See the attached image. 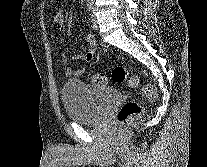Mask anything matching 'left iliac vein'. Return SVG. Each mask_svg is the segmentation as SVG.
Instances as JSON below:
<instances>
[{
    "instance_id": "1",
    "label": "left iliac vein",
    "mask_w": 207,
    "mask_h": 167,
    "mask_svg": "<svg viewBox=\"0 0 207 167\" xmlns=\"http://www.w3.org/2000/svg\"><path fill=\"white\" fill-rule=\"evenodd\" d=\"M91 18H92L93 27L95 29H97L98 28V22H97V19H96L95 15H94V10H93Z\"/></svg>"
}]
</instances>
